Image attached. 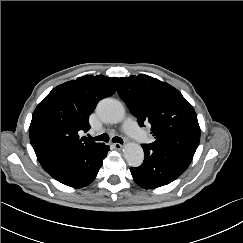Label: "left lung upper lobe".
<instances>
[{"label":"left lung upper lobe","instance_id":"1","mask_svg":"<svg viewBox=\"0 0 243 243\" xmlns=\"http://www.w3.org/2000/svg\"><path fill=\"white\" fill-rule=\"evenodd\" d=\"M118 94L140 126L150 123L152 146L197 149L201 132L197 115L176 88L140 74L120 78Z\"/></svg>","mask_w":243,"mask_h":243}]
</instances>
